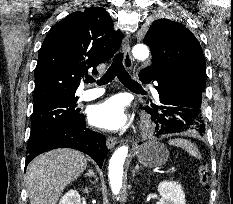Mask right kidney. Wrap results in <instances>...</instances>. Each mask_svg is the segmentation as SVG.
Here are the masks:
<instances>
[{
  "instance_id": "obj_1",
  "label": "right kidney",
  "mask_w": 233,
  "mask_h": 204,
  "mask_svg": "<svg viewBox=\"0 0 233 204\" xmlns=\"http://www.w3.org/2000/svg\"><path fill=\"white\" fill-rule=\"evenodd\" d=\"M84 192L88 193L89 191L86 188ZM80 200V194L76 190H70L61 198L59 204H81Z\"/></svg>"
}]
</instances>
